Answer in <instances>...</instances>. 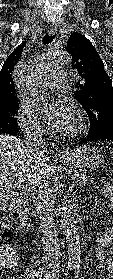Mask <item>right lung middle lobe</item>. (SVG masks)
I'll return each mask as SVG.
<instances>
[{"instance_id": "obj_1", "label": "right lung middle lobe", "mask_w": 113, "mask_h": 279, "mask_svg": "<svg viewBox=\"0 0 113 279\" xmlns=\"http://www.w3.org/2000/svg\"><path fill=\"white\" fill-rule=\"evenodd\" d=\"M18 112V103L0 109V134L19 131L15 115Z\"/></svg>"}]
</instances>
